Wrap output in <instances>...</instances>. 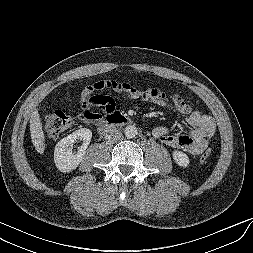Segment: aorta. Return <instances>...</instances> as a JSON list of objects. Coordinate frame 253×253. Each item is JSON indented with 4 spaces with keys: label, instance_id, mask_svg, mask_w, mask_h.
<instances>
[{
    "label": "aorta",
    "instance_id": "aorta-1",
    "mask_svg": "<svg viewBox=\"0 0 253 253\" xmlns=\"http://www.w3.org/2000/svg\"><path fill=\"white\" fill-rule=\"evenodd\" d=\"M124 134L128 139H132L137 136L138 130L134 125H128L124 130Z\"/></svg>",
    "mask_w": 253,
    "mask_h": 253
}]
</instances>
